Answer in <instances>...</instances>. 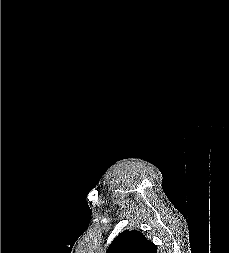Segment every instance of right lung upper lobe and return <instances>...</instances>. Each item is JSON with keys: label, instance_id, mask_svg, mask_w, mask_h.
<instances>
[{"label": "right lung upper lobe", "instance_id": "right-lung-upper-lobe-1", "mask_svg": "<svg viewBox=\"0 0 229 253\" xmlns=\"http://www.w3.org/2000/svg\"><path fill=\"white\" fill-rule=\"evenodd\" d=\"M106 253H157V248L140 231L125 230L113 240Z\"/></svg>", "mask_w": 229, "mask_h": 253}]
</instances>
